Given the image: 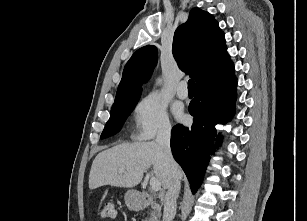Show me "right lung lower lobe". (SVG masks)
<instances>
[{"label":"right lung lower lobe","mask_w":307,"mask_h":221,"mask_svg":"<svg viewBox=\"0 0 307 221\" xmlns=\"http://www.w3.org/2000/svg\"><path fill=\"white\" fill-rule=\"evenodd\" d=\"M236 78L196 91L189 105L194 117L190 128L176 125L171 132V149L175 160L184 170L191 191L195 193L202 182L210 154L221 145L215 125L225 124L234 115ZM218 140L215 144L214 141Z\"/></svg>","instance_id":"98d812e1"}]
</instances>
